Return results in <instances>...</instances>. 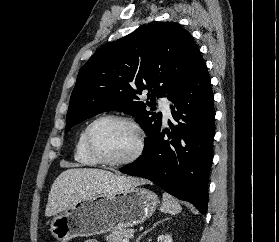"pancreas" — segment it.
<instances>
[{"mask_svg": "<svg viewBox=\"0 0 279 242\" xmlns=\"http://www.w3.org/2000/svg\"><path fill=\"white\" fill-rule=\"evenodd\" d=\"M135 230L134 229H114L105 236L107 242H122L124 238H131L133 237Z\"/></svg>", "mask_w": 279, "mask_h": 242, "instance_id": "pancreas-1", "label": "pancreas"}]
</instances>
